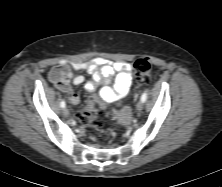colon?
Here are the masks:
<instances>
[{"instance_id": "1", "label": "colon", "mask_w": 222, "mask_h": 187, "mask_svg": "<svg viewBox=\"0 0 222 187\" xmlns=\"http://www.w3.org/2000/svg\"><path fill=\"white\" fill-rule=\"evenodd\" d=\"M133 71L136 81L139 85H146L150 81L151 63L146 58H141L135 61ZM105 110L103 100L97 96L91 97L89 103L79 116V121L82 125L96 128L100 125L104 117ZM110 136V134H108Z\"/></svg>"}]
</instances>
